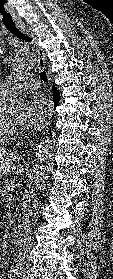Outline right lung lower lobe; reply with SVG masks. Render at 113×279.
Segmentation results:
<instances>
[{"mask_svg":"<svg viewBox=\"0 0 113 279\" xmlns=\"http://www.w3.org/2000/svg\"><path fill=\"white\" fill-rule=\"evenodd\" d=\"M52 88H53V95H54V105L56 106L60 100V94L54 86Z\"/></svg>","mask_w":113,"mask_h":279,"instance_id":"obj_1","label":"right lung lower lobe"}]
</instances>
